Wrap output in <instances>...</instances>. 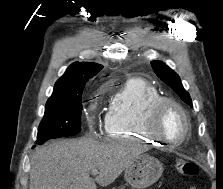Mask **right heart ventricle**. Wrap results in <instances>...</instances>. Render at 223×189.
Here are the masks:
<instances>
[{"instance_id":"obj_1","label":"right heart ventricle","mask_w":223,"mask_h":189,"mask_svg":"<svg viewBox=\"0 0 223 189\" xmlns=\"http://www.w3.org/2000/svg\"><path fill=\"white\" fill-rule=\"evenodd\" d=\"M159 97L160 93L151 84L128 80L110 99L104 123L106 138L159 143L143 129L145 113Z\"/></svg>"}]
</instances>
